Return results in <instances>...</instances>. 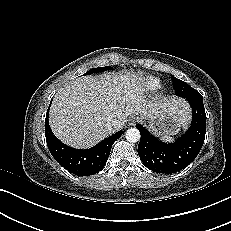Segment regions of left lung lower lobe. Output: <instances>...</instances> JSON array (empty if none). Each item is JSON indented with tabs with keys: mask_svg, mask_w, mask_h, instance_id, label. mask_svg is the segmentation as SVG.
Listing matches in <instances>:
<instances>
[{
	"mask_svg": "<svg viewBox=\"0 0 231 231\" xmlns=\"http://www.w3.org/2000/svg\"><path fill=\"white\" fill-rule=\"evenodd\" d=\"M193 112L188 131L174 143H163L143 126L137 124L141 133L138 155L143 164L156 173L172 174L187 167L200 152L206 134V114L203 98H186Z\"/></svg>",
	"mask_w": 231,
	"mask_h": 231,
	"instance_id": "obj_1",
	"label": "left lung lower lobe"
}]
</instances>
